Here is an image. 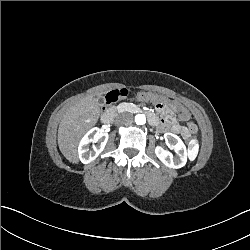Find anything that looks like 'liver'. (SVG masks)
<instances>
[{
  "label": "liver",
  "mask_w": 250,
  "mask_h": 250,
  "mask_svg": "<svg viewBox=\"0 0 250 250\" xmlns=\"http://www.w3.org/2000/svg\"><path fill=\"white\" fill-rule=\"evenodd\" d=\"M100 96V95H98ZM99 116V103L92 96L78 100L63 116L58 129V145L70 162H78L77 145L81 136Z\"/></svg>",
  "instance_id": "1"
}]
</instances>
